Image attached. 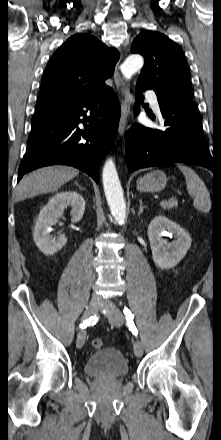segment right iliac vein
Here are the masks:
<instances>
[{
    "mask_svg": "<svg viewBox=\"0 0 221 440\" xmlns=\"http://www.w3.org/2000/svg\"><path fill=\"white\" fill-rule=\"evenodd\" d=\"M101 306V301L99 298L93 296L89 302L88 307L86 308L82 320L86 321L89 317L95 315L98 311V309ZM86 340V332L84 329H81L78 333L77 340H76V346L77 348H82Z\"/></svg>",
    "mask_w": 221,
    "mask_h": 440,
    "instance_id": "right-iliac-vein-1",
    "label": "right iliac vein"
}]
</instances>
